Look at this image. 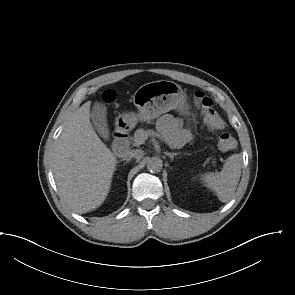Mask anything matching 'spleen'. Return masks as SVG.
<instances>
[{
  "label": "spleen",
  "instance_id": "obj_1",
  "mask_svg": "<svg viewBox=\"0 0 295 295\" xmlns=\"http://www.w3.org/2000/svg\"><path fill=\"white\" fill-rule=\"evenodd\" d=\"M241 176V159L238 154L228 157L223 169L201 174L204 185L216 193L221 202H229L235 193Z\"/></svg>",
  "mask_w": 295,
  "mask_h": 295
}]
</instances>
